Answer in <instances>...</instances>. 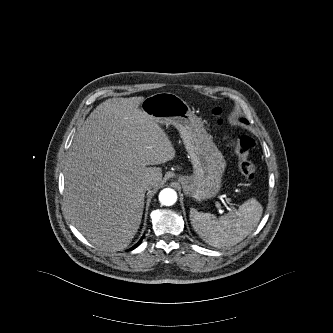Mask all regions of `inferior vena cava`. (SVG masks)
<instances>
[{"instance_id":"inferior-vena-cava-1","label":"inferior vena cava","mask_w":333,"mask_h":333,"mask_svg":"<svg viewBox=\"0 0 333 333\" xmlns=\"http://www.w3.org/2000/svg\"><path fill=\"white\" fill-rule=\"evenodd\" d=\"M155 184V179L154 178H148L147 180H145L144 182V187L146 189H150L152 186H154Z\"/></svg>"}]
</instances>
